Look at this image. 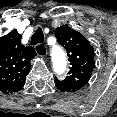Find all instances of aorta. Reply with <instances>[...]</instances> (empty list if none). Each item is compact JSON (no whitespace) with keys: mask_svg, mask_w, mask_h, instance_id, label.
Listing matches in <instances>:
<instances>
[{"mask_svg":"<svg viewBox=\"0 0 117 117\" xmlns=\"http://www.w3.org/2000/svg\"><path fill=\"white\" fill-rule=\"evenodd\" d=\"M52 61L54 71L58 74H61L66 69V55L61 47L53 46L52 48Z\"/></svg>","mask_w":117,"mask_h":117,"instance_id":"1","label":"aorta"}]
</instances>
